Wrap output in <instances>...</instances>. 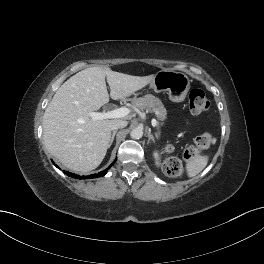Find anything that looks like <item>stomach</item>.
<instances>
[{
    "mask_svg": "<svg viewBox=\"0 0 264 264\" xmlns=\"http://www.w3.org/2000/svg\"><path fill=\"white\" fill-rule=\"evenodd\" d=\"M150 87L156 92H168L173 102H181L190 89V80L183 72L161 70L154 75Z\"/></svg>",
    "mask_w": 264,
    "mask_h": 264,
    "instance_id": "obj_1",
    "label": "stomach"
}]
</instances>
